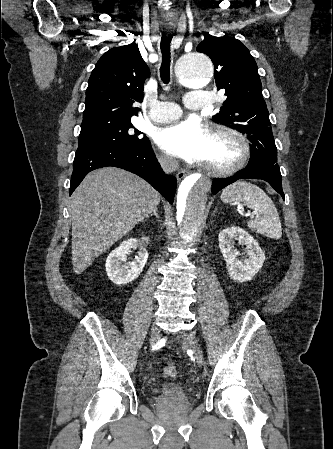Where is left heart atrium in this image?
Listing matches in <instances>:
<instances>
[{
	"mask_svg": "<svg viewBox=\"0 0 333 449\" xmlns=\"http://www.w3.org/2000/svg\"><path fill=\"white\" fill-rule=\"evenodd\" d=\"M209 140L207 128L193 119L164 127L155 137L158 146L166 153L191 163L204 160Z\"/></svg>",
	"mask_w": 333,
	"mask_h": 449,
	"instance_id": "obj_1",
	"label": "left heart atrium"
}]
</instances>
